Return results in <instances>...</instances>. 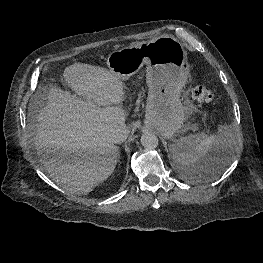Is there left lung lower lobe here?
Instances as JSON below:
<instances>
[{
	"mask_svg": "<svg viewBox=\"0 0 263 263\" xmlns=\"http://www.w3.org/2000/svg\"><path fill=\"white\" fill-rule=\"evenodd\" d=\"M221 156L212 155L206 159L197 169H191L189 172L192 176L206 178L215 174L220 168L219 158Z\"/></svg>",
	"mask_w": 263,
	"mask_h": 263,
	"instance_id": "1",
	"label": "left lung lower lobe"
}]
</instances>
